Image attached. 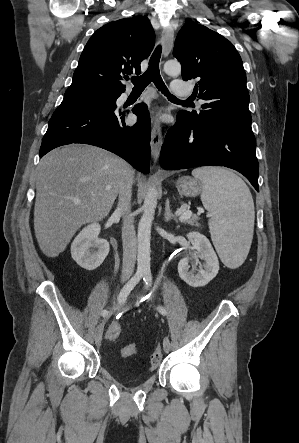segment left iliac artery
Wrapping results in <instances>:
<instances>
[{"mask_svg":"<svg viewBox=\"0 0 299 443\" xmlns=\"http://www.w3.org/2000/svg\"><path fill=\"white\" fill-rule=\"evenodd\" d=\"M143 280H144L145 285H146L147 288L151 287V285H152V276H151V273L149 271L144 273ZM157 309H158V311L161 314H163V315L167 314V311H166V309L164 307L159 306V307H157Z\"/></svg>","mask_w":299,"mask_h":443,"instance_id":"1","label":"left iliac artery"}]
</instances>
